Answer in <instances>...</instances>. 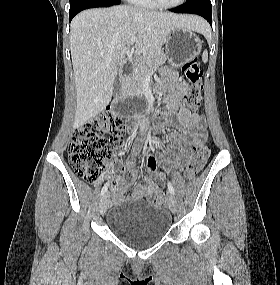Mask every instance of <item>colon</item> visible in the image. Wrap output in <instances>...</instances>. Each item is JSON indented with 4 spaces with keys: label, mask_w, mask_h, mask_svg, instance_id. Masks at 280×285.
I'll return each mask as SVG.
<instances>
[{
    "label": "colon",
    "mask_w": 280,
    "mask_h": 285,
    "mask_svg": "<svg viewBox=\"0 0 280 285\" xmlns=\"http://www.w3.org/2000/svg\"><path fill=\"white\" fill-rule=\"evenodd\" d=\"M185 78L189 88L185 93L184 103L190 111H196L203 95V72L197 59L188 61L184 67ZM125 128L121 118L112 110L105 111L78 126L69 145V163L78 176L96 183L101 176V164L113 156L115 148L123 144ZM210 150L205 139L193 140L185 177L194 178L203 169ZM151 203L160 204L165 195L154 193L148 196Z\"/></svg>",
    "instance_id": "5ec220e1"
}]
</instances>
